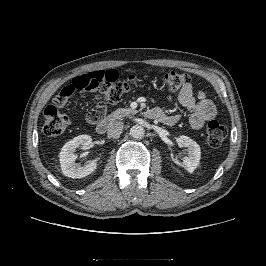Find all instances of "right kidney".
<instances>
[{
    "label": "right kidney",
    "instance_id": "ca27d5eb",
    "mask_svg": "<svg viewBox=\"0 0 266 266\" xmlns=\"http://www.w3.org/2000/svg\"><path fill=\"white\" fill-rule=\"evenodd\" d=\"M92 138L89 135H79L73 140L68 141L61 149L59 158L63 174L70 178H83L91 174L97 168L96 161H90L84 166L75 163L77 155L74 153L78 147L87 149L91 144Z\"/></svg>",
    "mask_w": 266,
    "mask_h": 266
}]
</instances>
